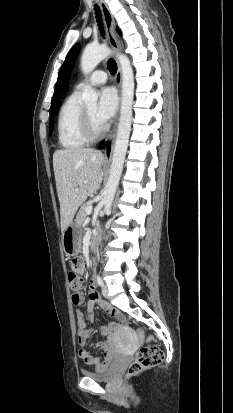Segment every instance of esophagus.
<instances>
[{
    "label": "esophagus",
    "mask_w": 233,
    "mask_h": 413,
    "mask_svg": "<svg viewBox=\"0 0 233 413\" xmlns=\"http://www.w3.org/2000/svg\"><path fill=\"white\" fill-rule=\"evenodd\" d=\"M99 4L101 6V10L104 16V21H105L106 30L108 33L109 42L112 48L114 49V51L118 54L121 51V43H120V39L115 30L114 18L104 0H99ZM115 82L118 88L119 95L121 97L122 70H121V65L118 60H117V73L115 75ZM117 126H118V119L116 120L111 132L109 133L106 139V146L104 150L105 161H111L112 159V153H113V148H114V143H115V138H116V133H117Z\"/></svg>",
    "instance_id": "34e87169"
}]
</instances>
